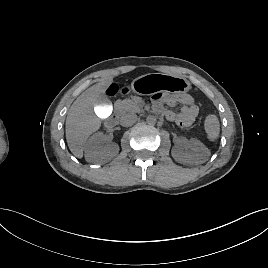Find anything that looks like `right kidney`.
I'll list each match as a JSON object with an SVG mask.
<instances>
[{
	"mask_svg": "<svg viewBox=\"0 0 268 268\" xmlns=\"http://www.w3.org/2000/svg\"><path fill=\"white\" fill-rule=\"evenodd\" d=\"M104 135L97 132L92 135L85 145V159L87 162L102 164L110 161L119 152V146L116 143H107L103 145Z\"/></svg>",
	"mask_w": 268,
	"mask_h": 268,
	"instance_id": "obj_1",
	"label": "right kidney"
}]
</instances>
